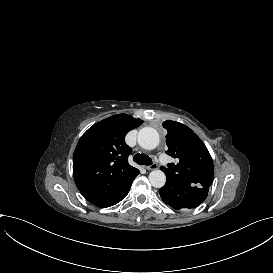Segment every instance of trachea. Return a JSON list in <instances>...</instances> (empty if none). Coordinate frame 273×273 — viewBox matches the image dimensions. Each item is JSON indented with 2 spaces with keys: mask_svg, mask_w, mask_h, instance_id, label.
Instances as JSON below:
<instances>
[{
  "mask_svg": "<svg viewBox=\"0 0 273 273\" xmlns=\"http://www.w3.org/2000/svg\"><path fill=\"white\" fill-rule=\"evenodd\" d=\"M133 160L139 165L149 166V165L152 164V159L149 156L145 155V154L137 153L134 156Z\"/></svg>",
  "mask_w": 273,
  "mask_h": 273,
  "instance_id": "1",
  "label": "trachea"
}]
</instances>
